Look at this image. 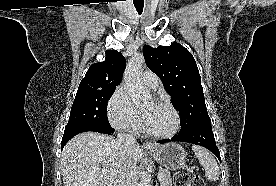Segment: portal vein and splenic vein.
I'll use <instances>...</instances> for the list:
<instances>
[{
    "label": "portal vein and splenic vein",
    "mask_w": 276,
    "mask_h": 186,
    "mask_svg": "<svg viewBox=\"0 0 276 186\" xmlns=\"http://www.w3.org/2000/svg\"><path fill=\"white\" fill-rule=\"evenodd\" d=\"M157 178L158 180H161L163 178V173L159 172Z\"/></svg>",
    "instance_id": "portal-vein-and-splenic-vein-1"
}]
</instances>
